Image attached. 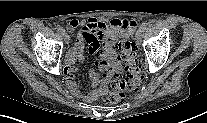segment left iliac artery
Returning <instances> with one entry per match:
<instances>
[{
    "label": "left iliac artery",
    "mask_w": 207,
    "mask_h": 123,
    "mask_svg": "<svg viewBox=\"0 0 207 123\" xmlns=\"http://www.w3.org/2000/svg\"><path fill=\"white\" fill-rule=\"evenodd\" d=\"M146 27H147V23L143 22L140 26L141 31H144L146 29Z\"/></svg>",
    "instance_id": "44dca946"
}]
</instances>
